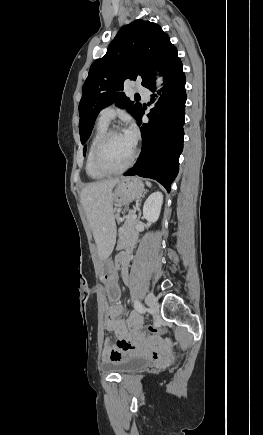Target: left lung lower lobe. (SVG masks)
Segmentation results:
<instances>
[{
    "mask_svg": "<svg viewBox=\"0 0 263 435\" xmlns=\"http://www.w3.org/2000/svg\"><path fill=\"white\" fill-rule=\"evenodd\" d=\"M164 83L156 108L148 114L150 121L142 124L144 108L137 119L141 125L143 149L135 166L124 175L155 179L169 192L179 171L184 138L186 79L180 58L164 75ZM149 90L154 92L155 84ZM151 98L153 102L154 95Z\"/></svg>",
    "mask_w": 263,
    "mask_h": 435,
    "instance_id": "obj_1",
    "label": "left lung lower lobe"
}]
</instances>
